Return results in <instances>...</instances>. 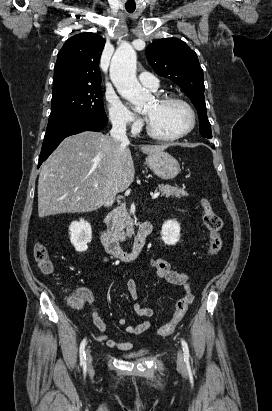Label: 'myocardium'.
<instances>
[{
    "instance_id": "1",
    "label": "myocardium",
    "mask_w": 272,
    "mask_h": 411,
    "mask_svg": "<svg viewBox=\"0 0 272 411\" xmlns=\"http://www.w3.org/2000/svg\"><path fill=\"white\" fill-rule=\"evenodd\" d=\"M156 101L164 104L176 102L185 106L190 114V124L183 132L173 136H166L156 132L147 120L145 129L151 138L163 142H173L185 138L194 130L196 126V113L193 106L187 100L175 95H158Z\"/></svg>"
}]
</instances>
